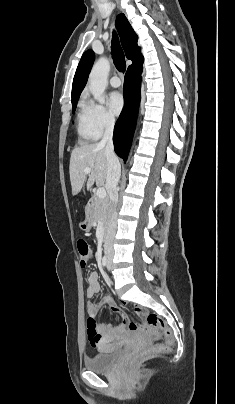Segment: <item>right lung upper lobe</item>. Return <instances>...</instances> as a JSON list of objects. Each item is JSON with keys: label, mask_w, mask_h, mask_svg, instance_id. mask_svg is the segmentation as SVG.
I'll return each instance as SVG.
<instances>
[{"label": "right lung upper lobe", "mask_w": 235, "mask_h": 404, "mask_svg": "<svg viewBox=\"0 0 235 404\" xmlns=\"http://www.w3.org/2000/svg\"><path fill=\"white\" fill-rule=\"evenodd\" d=\"M116 27L118 29L126 57L133 61L131 66L142 63L144 59L141 54V49L137 45L138 37L124 14L121 13L117 16ZM94 59L95 55L92 50H88L83 54L73 79L72 102L78 101V98L86 85Z\"/></svg>", "instance_id": "right-lung-upper-lobe-1"}]
</instances>
